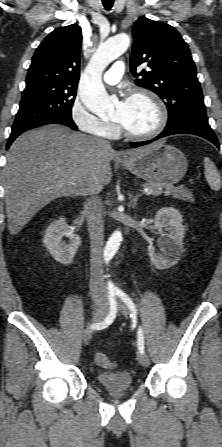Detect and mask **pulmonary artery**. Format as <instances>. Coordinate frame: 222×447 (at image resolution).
Here are the masks:
<instances>
[{
    "label": "pulmonary artery",
    "instance_id": "1",
    "mask_svg": "<svg viewBox=\"0 0 222 447\" xmlns=\"http://www.w3.org/2000/svg\"><path fill=\"white\" fill-rule=\"evenodd\" d=\"M125 70V65L122 61L116 62L112 68L104 75V82L108 85H115L117 84Z\"/></svg>",
    "mask_w": 222,
    "mask_h": 447
}]
</instances>
